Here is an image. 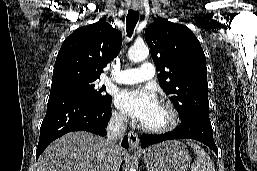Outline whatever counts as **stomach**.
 Instances as JSON below:
<instances>
[{
	"label": "stomach",
	"mask_w": 257,
	"mask_h": 171,
	"mask_svg": "<svg viewBox=\"0 0 257 171\" xmlns=\"http://www.w3.org/2000/svg\"><path fill=\"white\" fill-rule=\"evenodd\" d=\"M148 171H187L189 152L178 141H167L154 145L144 154Z\"/></svg>",
	"instance_id": "obj_1"
}]
</instances>
